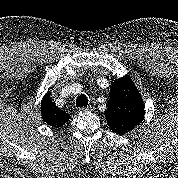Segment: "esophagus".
Returning a JSON list of instances; mask_svg holds the SVG:
<instances>
[{
    "label": "esophagus",
    "instance_id": "obj_1",
    "mask_svg": "<svg viewBox=\"0 0 178 178\" xmlns=\"http://www.w3.org/2000/svg\"><path fill=\"white\" fill-rule=\"evenodd\" d=\"M79 110L81 112L91 111V110H93V106L90 105V106H87V107H80Z\"/></svg>",
    "mask_w": 178,
    "mask_h": 178
}]
</instances>
